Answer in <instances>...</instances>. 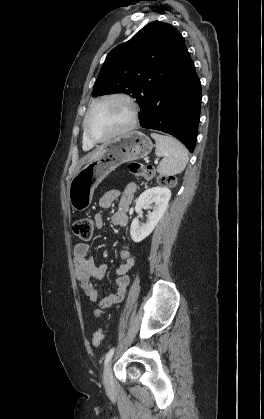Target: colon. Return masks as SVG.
I'll return each mask as SVG.
<instances>
[{
	"label": "colon",
	"instance_id": "5ec220e1",
	"mask_svg": "<svg viewBox=\"0 0 264 419\" xmlns=\"http://www.w3.org/2000/svg\"><path fill=\"white\" fill-rule=\"evenodd\" d=\"M129 171L138 177H143L145 179H152L155 176L154 168L150 165H145L139 162H131L129 164ZM158 182L161 185L165 186H174L176 183L175 177L171 176H160L158 177ZM94 230V221L89 217H83L78 219L73 224V233L74 235L83 240L87 241L92 237ZM103 340V331L102 329H97L92 337V344L95 347H99Z\"/></svg>",
	"mask_w": 264,
	"mask_h": 419
}]
</instances>
